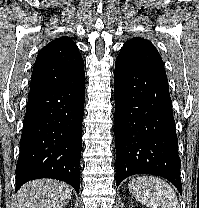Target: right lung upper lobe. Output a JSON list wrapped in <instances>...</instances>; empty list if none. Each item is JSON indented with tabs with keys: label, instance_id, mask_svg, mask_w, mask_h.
I'll return each instance as SVG.
<instances>
[{
	"label": "right lung upper lobe",
	"instance_id": "right-lung-upper-lobe-1",
	"mask_svg": "<svg viewBox=\"0 0 199 208\" xmlns=\"http://www.w3.org/2000/svg\"><path fill=\"white\" fill-rule=\"evenodd\" d=\"M84 75V61L76 44L69 37L57 38L38 53L30 91L71 83Z\"/></svg>",
	"mask_w": 199,
	"mask_h": 208
}]
</instances>
